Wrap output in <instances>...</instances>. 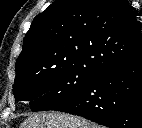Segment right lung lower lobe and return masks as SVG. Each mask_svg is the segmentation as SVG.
I'll return each instance as SVG.
<instances>
[{"label":"right lung lower lobe","mask_w":142,"mask_h":128,"mask_svg":"<svg viewBox=\"0 0 142 128\" xmlns=\"http://www.w3.org/2000/svg\"><path fill=\"white\" fill-rule=\"evenodd\" d=\"M56 111L109 128H142V54L96 73L82 93Z\"/></svg>","instance_id":"obj_1"}]
</instances>
